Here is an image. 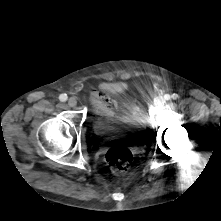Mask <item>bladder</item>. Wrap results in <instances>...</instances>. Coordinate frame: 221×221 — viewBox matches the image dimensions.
I'll use <instances>...</instances> for the list:
<instances>
[{
  "instance_id": "31cf9c89",
  "label": "bladder",
  "mask_w": 221,
  "mask_h": 221,
  "mask_svg": "<svg viewBox=\"0 0 221 221\" xmlns=\"http://www.w3.org/2000/svg\"><path fill=\"white\" fill-rule=\"evenodd\" d=\"M125 107H131L132 113L128 117H121L117 113L100 114L94 110L93 127L100 136H115L121 134L143 133L145 123L141 115L132 106L131 101L123 102Z\"/></svg>"
}]
</instances>
